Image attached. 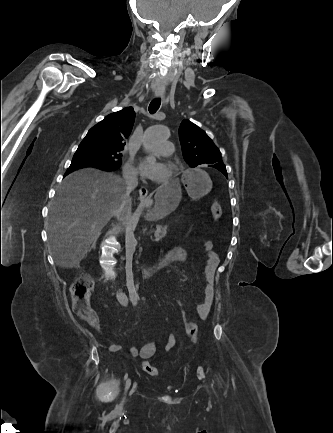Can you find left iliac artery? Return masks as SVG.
<instances>
[{
    "instance_id": "obj_1",
    "label": "left iliac artery",
    "mask_w": 333,
    "mask_h": 433,
    "mask_svg": "<svg viewBox=\"0 0 333 433\" xmlns=\"http://www.w3.org/2000/svg\"><path fill=\"white\" fill-rule=\"evenodd\" d=\"M133 303H134V304H136V303H137V302H136V299H134ZM198 370H199V372H200L201 376H203V369H202L201 367H199V368H198ZM211 387H212V389H213V386H212V384H211Z\"/></svg>"
}]
</instances>
